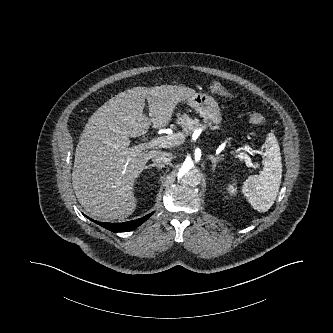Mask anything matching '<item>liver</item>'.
<instances>
[{
    "instance_id": "6515ba94",
    "label": "liver",
    "mask_w": 333,
    "mask_h": 333,
    "mask_svg": "<svg viewBox=\"0 0 333 333\" xmlns=\"http://www.w3.org/2000/svg\"><path fill=\"white\" fill-rule=\"evenodd\" d=\"M195 93L177 85L134 87L115 95L89 118L76 147L72 186L91 217L124 220L136 209L134 183L146 163L160 151H134L130 137L165 127L178 103ZM145 99L149 117L143 114Z\"/></svg>"
}]
</instances>
